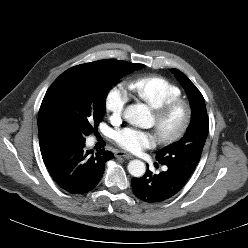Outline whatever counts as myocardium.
Instances as JSON below:
<instances>
[{
  "label": "myocardium",
  "mask_w": 248,
  "mask_h": 248,
  "mask_svg": "<svg viewBox=\"0 0 248 248\" xmlns=\"http://www.w3.org/2000/svg\"><path fill=\"white\" fill-rule=\"evenodd\" d=\"M178 108H182L184 111V118L182 124L171 134L158 133V137L163 144H173L179 141L188 131L192 121V106L183 99L176 98L162 104L157 109L153 110V115L156 122V131L160 128L161 124Z\"/></svg>",
  "instance_id": "1"
}]
</instances>
